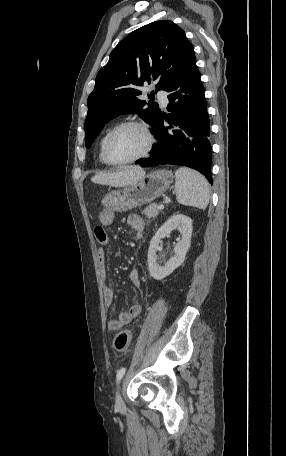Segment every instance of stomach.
Returning <instances> with one entry per match:
<instances>
[{
    "label": "stomach",
    "instance_id": "1",
    "mask_svg": "<svg viewBox=\"0 0 286 456\" xmlns=\"http://www.w3.org/2000/svg\"><path fill=\"white\" fill-rule=\"evenodd\" d=\"M173 174L168 170H154L142 180L105 195L102 204L112 211L125 212L150 203L162 195L172 183Z\"/></svg>",
    "mask_w": 286,
    "mask_h": 456
}]
</instances>
